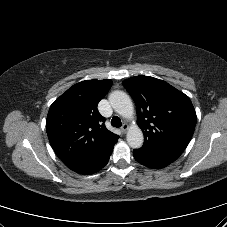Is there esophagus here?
<instances>
[{
    "label": "esophagus",
    "mask_w": 227,
    "mask_h": 227,
    "mask_svg": "<svg viewBox=\"0 0 227 227\" xmlns=\"http://www.w3.org/2000/svg\"><path fill=\"white\" fill-rule=\"evenodd\" d=\"M128 128H129V125L128 124H123L122 127H121V131L123 133H126V131L128 130Z\"/></svg>",
    "instance_id": "34e87169"
}]
</instances>
